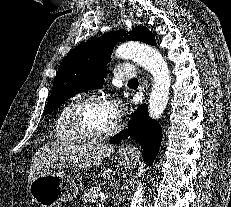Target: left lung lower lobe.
<instances>
[{
	"mask_svg": "<svg viewBox=\"0 0 231 207\" xmlns=\"http://www.w3.org/2000/svg\"><path fill=\"white\" fill-rule=\"evenodd\" d=\"M128 136L140 143L143 148V158L148 166H151L161 144L162 130L158 122L148 116V108L145 104L131 115L129 128L115 135L110 142L118 143Z\"/></svg>",
	"mask_w": 231,
	"mask_h": 207,
	"instance_id": "left-lung-lower-lobe-1",
	"label": "left lung lower lobe"
}]
</instances>
